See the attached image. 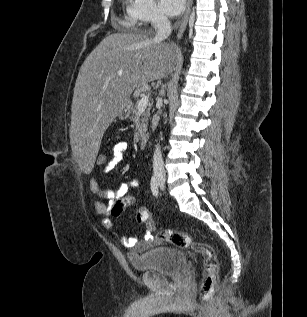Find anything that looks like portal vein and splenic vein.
Wrapping results in <instances>:
<instances>
[{
	"label": "portal vein and splenic vein",
	"instance_id": "portal-vein-and-splenic-vein-1",
	"mask_svg": "<svg viewBox=\"0 0 307 317\" xmlns=\"http://www.w3.org/2000/svg\"><path fill=\"white\" fill-rule=\"evenodd\" d=\"M149 97L142 95L141 99L138 101V111H144L148 105Z\"/></svg>",
	"mask_w": 307,
	"mask_h": 317
}]
</instances>
